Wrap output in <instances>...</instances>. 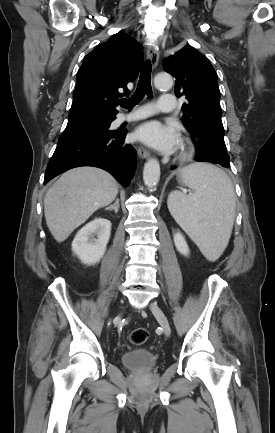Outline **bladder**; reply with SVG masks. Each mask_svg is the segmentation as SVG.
I'll list each match as a JSON object with an SVG mask.
<instances>
[{"label": "bladder", "mask_w": 275, "mask_h": 433, "mask_svg": "<svg viewBox=\"0 0 275 433\" xmlns=\"http://www.w3.org/2000/svg\"><path fill=\"white\" fill-rule=\"evenodd\" d=\"M156 361L155 354L146 348L130 349L121 355L123 366L130 370H150L156 365Z\"/></svg>", "instance_id": "31cf9c89"}]
</instances>
